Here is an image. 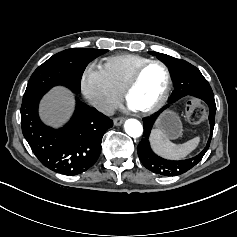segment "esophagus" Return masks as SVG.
<instances>
[{"label":"esophagus","mask_w":237,"mask_h":237,"mask_svg":"<svg viewBox=\"0 0 237 237\" xmlns=\"http://www.w3.org/2000/svg\"><path fill=\"white\" fill-rule=\"evenodd\" d=\"M125 118L124 117H117L114 118L113 123L115 126H120L124 122Z\"/></svg>","instance_id":"1"}]
</instances>
